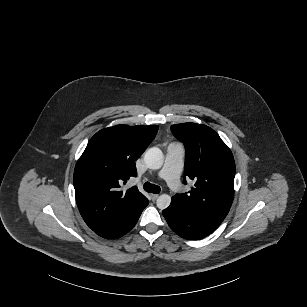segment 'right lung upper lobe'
I'll return each mask as SVG.
<instances>
[{"instance_id":"cb5924a9","label":"right lung upper lobe","mask_w":307,"mask_h":307,"mask_svg":"<svg viewBox=\"0 0 307 307\" xmlns=\"http://www.w3.org/2000/svg\"><path fill=\"white\" fill-rule=\"evenodd\" d=\"M157 131V125H116L89 141L75 166L74 188L78 209L93 231L118 221L146 198L136 186L123 192L120 184L136 176L135 161Z\"/></svg>"}]
</instances>
